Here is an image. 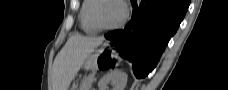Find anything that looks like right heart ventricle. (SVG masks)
<instances>
[{"label": "right heart ventricle", "instance_id": "obj_1", "mask_svg": "<svg viewBox=\"0 0 228 90\" xmlns=\"http://www.w3.org/2000/svg\"><path fill=\"white\" fill-rule=\"evenodd\" d=\"M94 4L95 0H84L79 12L81 27L87 34H95L99 31L91 21V9Z\"/></svg>", "mask_w": 228, "mask_h": 90}]
</instances>
